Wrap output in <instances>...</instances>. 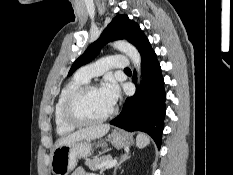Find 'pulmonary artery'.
I'll use <instances>...</instances> for the list:
<instances>
[{"mask_svg": "<svg viewBox=\"0 0 233 175\" xmlns=\"http://www.w3.org/2000/svg\"><path fill=\"white\" fill-rule=\"evenodd\" d=\"M129 64L125 55L113 54L81 67L76 76L89 81L92 77L101 75L108 69H125L129 67Z\"/></svg>", "mask_w": 233, "mask_h": 175, "instance_id": "1", "label": "pulmonary artery"}]
</instances>
